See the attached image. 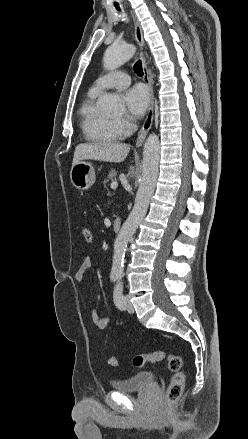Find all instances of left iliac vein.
I'll return each mask as SVG.
<instances>
[{"label":"left iliac vein","mask_w":248,"mask_h":439,"mask_svg":"<svg viewBox=\"0 0 248 439\" xmlns=\"http://www.w3.org/2000/svg\"><path fill=\"white\" fill-rule=\"evenodd\" d=\"M124 301H125V308L128 312H133L134 311V307L132 305V303L129 300L128 296L124 297Z\"/></svg>","instance_id":"left-iliac-vein-1"}]
</instances>
